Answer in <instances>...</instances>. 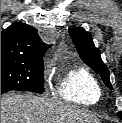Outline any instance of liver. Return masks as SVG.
I'll return each instance as SVG.
<instances>
[{
    "mask_svg": "<svg viewBox=\"0 0 122 123\" xmlns=\"http://www.w3.org/2000/svg\"><path fill=\"white\" fill-rule=\"evenodd\" d=\"M1 123H100L92 113L29 93L1 97Z\"/></svg>",
    "mask_w": 122,
    "mask_h": 123,
    "instance_id": "6515ba94",
    "label": "liver"
}]
</instances>
